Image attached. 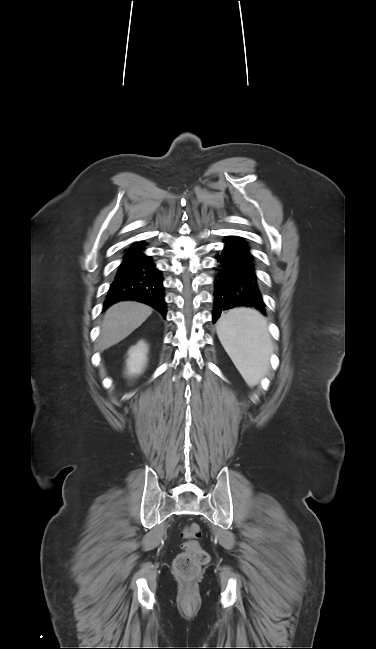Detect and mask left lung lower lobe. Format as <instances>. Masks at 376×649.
Masks as SVG:
<instances>
[{"mask_svg": "<svg viewBox=\"0 0 376 649\" xmlns=\"http://www.w3.org/2000/svg\"><path fill=\"white\" fill-rule=\"evenodd\" d=\"M224 242L222 254L216 256L213 323L224 310L236 306L253 307L265 314L249 248L238 237H229Z\"/></svg>", "mask_w": 376, "mask_h": 649, "instance_id": "0a47b994", "label": "left lung lower lobe"}]
</instances>
